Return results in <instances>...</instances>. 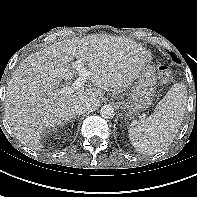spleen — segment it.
I'll list each match as a JSON object with an SVG mask.
<instances>
[{"instance_id": "3e777b00", "label": "spleen", "mask_w": 197, "mask_h": 197, "mask_svg": "<svg viewBox=\"0 0 197 197\" xmlns=\"http://www.w3.org/2000/svg\"><path fill=\"white\" fill-rule=\"evenodd\" d=\"M187 102L183 83L174 84L148 118L131 123L129 138L142 154H155L168 146L182 123Z\"/></svg>"}]
</instances>
